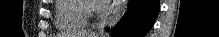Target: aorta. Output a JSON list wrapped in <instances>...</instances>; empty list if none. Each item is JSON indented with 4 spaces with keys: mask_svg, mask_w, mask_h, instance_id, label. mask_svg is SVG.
Returning a JSON list of instances; mask_svg holds the SVG:
<instances>
[{
    "mask_svg": "<svg viewBox=\"0 0 219 37\" xmlns=\"http://www.w3.org/2000/svg\"><path fill=\"white\" fill-rule=\"evenodd\" d=\"M128 4H129L128 0H114L113 9L107 19L108 29H112L118 24V22L124 16ZM106 35H109V33H106Z\"/></svg>",
    "mask_w": 219,
    "mask_h": 37,
    "instance_id": "762f6f07",
    "label": "aorta"
}]
</instances>
